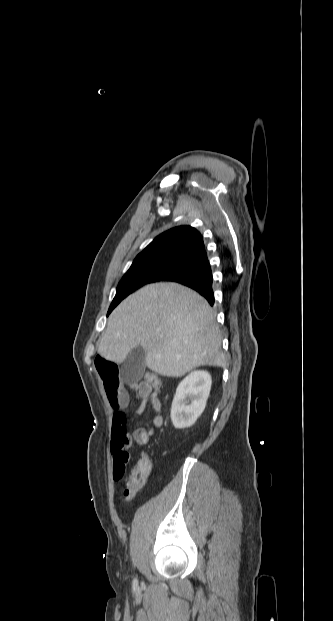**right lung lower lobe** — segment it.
Listing matches in <instances>:
<instances>
[{
  "instance_id": "98d812e1",
  "label": "right lung lower lobe",
  "mask_w": 333,
  "mask_h": 621,
  "mask_svg": "<svg viewBox=\"0 0 333 621\" xmlns=\"http://www.w3.org/2000/svg\"><path fill=\"white\" fill-rule=\"evenodd\" d=\"M161 281L183 284L205 297L210 305L214 304L212 290V272L205 248L191 255L174 271L164 276Z\"/></svg>"
}]
</instances>
